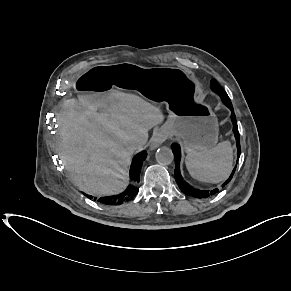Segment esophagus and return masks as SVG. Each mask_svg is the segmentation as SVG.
<instances>
[{"label":"esophagus","instance_id":"obj_1","mask_svg":"<svg viewBox=\"0 0 291 291\" xmlns=\"http://www.w3.org/2000/svg\"><path fill=\"white\" fill-rule=\"evenodd\" d=\"M167 138V135L165 133H158L157 136L152 140L151 146L150 148L156 149L157 147H159Z\"/></svg>","mask_w":291,"mask_h":291}]
</instances>
